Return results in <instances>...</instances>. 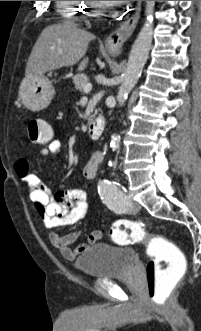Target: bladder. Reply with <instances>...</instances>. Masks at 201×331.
<instances>
[{
  "label": "bladder",
  "instance_id": "1",
  "mask_svg": "<svg viewBox=\"0 0 201 331\" xmlns=\"http://www.w3.org/2000/svg\"><path fill=\"white\" fill-rule=\"evenodd\" d=\"M136 251L110 243L93 244L76 258L74 266L91 279H113L127 275L134 265Z\"/></svg>",
  "mask_w": 201,
  "mask_h": 331
}]
</instances>
